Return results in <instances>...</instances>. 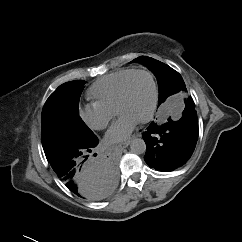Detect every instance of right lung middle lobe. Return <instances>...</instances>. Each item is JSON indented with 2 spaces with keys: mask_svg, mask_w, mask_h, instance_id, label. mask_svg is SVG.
Instances as JSON below:
<instances>
[{
  "mask_svg": "<svg viewBox=\"0 0 242 242\" xmlns=\"http://www.w3.org/2000/svg\"><path fill=\"white\" fill-rule=\"evenodd\" d=\"M85 81L59 86L47 99L41 116L42 145L46 158L70 147L87 144L95 138L79 116V100Z\"/></svg>",
  "mask_w": 242,
  "mask_h": 242,
  "instance_id": "right-lung-middle-lobe-1",
  "label": "right lung middle lobe"
}]
</instances>
